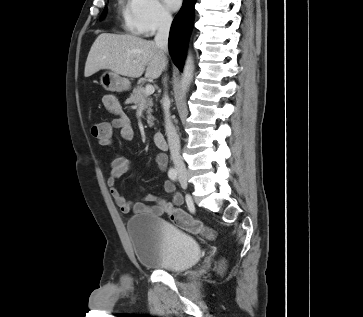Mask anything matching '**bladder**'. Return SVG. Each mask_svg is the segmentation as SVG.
Returning <instances> with one entry per match:
<instances>
[{"mask_svg":"<svg viewBox=\"0 0 363 317\" xmlns=\"http://www.w3.org/2000/svg\"><path fill=\"white\" fill-rule=\"evenodd\" d=\"M126 230L142 267L177 273L189 269L201 258L196 238L157 216L134 215Z\"/></svg>","mask_w":363,"mask_h":317,"instance_id":"1","label":"bladder"}]
</instances>
